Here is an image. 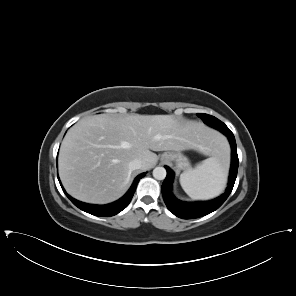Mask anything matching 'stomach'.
<instances>
[{"mask_svg":"<svg viewBox=\"0 0 296 296\" xmlns=\"http://www.w3.org/2000/svg\"><path fill=\"white\" fill-rule=\"evenodd\" d=\"M162 161H171L175 163L178 170H188L190 168L189 159L181 152H165L161 156Z\"/></svg>","mask_w":296,"mask_h":296,"instance_id":"0dacf381","label":"stomach"}]
</instances>
